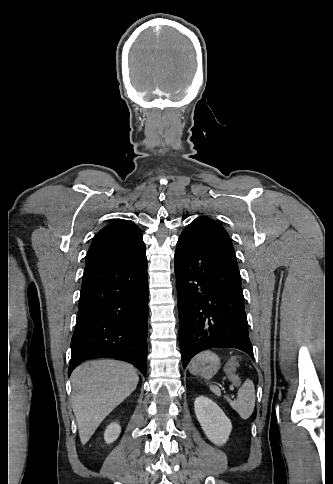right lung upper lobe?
I'll list each match as a JSON object with an SVG mask.
<instances>
[{"label": "right lung upper lobe", "mask_w": 333, "mask_h": 484, "mask_svg": "<svg viewBox=\"0 0 333 484\" xmlns=\"http://www.w3.org/2000/svg\"><path fill=\"white\" fill-rule=\"evenodd\" d=\"M143 248L141 229L132 222L116 220L94 237L86 262L124 258Z\"/></svg>", "instance_id": "1"}]
</instances>
